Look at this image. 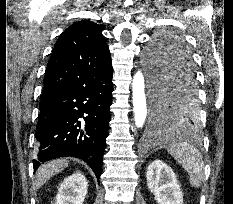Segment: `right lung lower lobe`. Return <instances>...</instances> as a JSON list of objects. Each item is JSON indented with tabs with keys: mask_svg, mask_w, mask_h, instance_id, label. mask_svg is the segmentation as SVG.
<instances>
[{
	"mask_svg": "<svg viewBox=\"0 0 233 204\" xmlns=\"http://www.w3.org/2000/svg\"><path fill=\"white\" fill-rule=\"evenodd\" d=\"M112 74L110 65L42 96L40 112L53 115L54 119L36 135L39 150L33 160L34 171L40 162L72 156L84 160L99 181L110 121Z\"/></svg>",
	"mask_w": 233,
	"mask_h": 204,
	"instance_id": "1",
	"label": "right lung lower lobe"
}]
</instances>
